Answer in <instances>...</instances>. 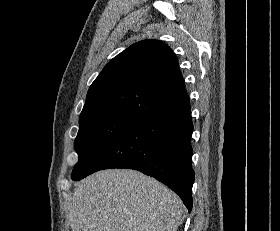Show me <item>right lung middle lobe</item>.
Listing matches in <instances>:
<instances>
[{"label": "right lung middle lobe", "instance_id": "1", "mask_svg": "<svg viewBox=\"0 0 280 231\" xmlns=\"http://www.w3.org/2000/svg\"><path fill=\"white\" fill-rule=\"evenodd\" d=\"M136 123L138 121L129 118L79 119V131L74 142L79 160L71 178L79 175L108 144Z\"/></svg>", "mask_w": 280, "mask_h": 231}]
</instances>
